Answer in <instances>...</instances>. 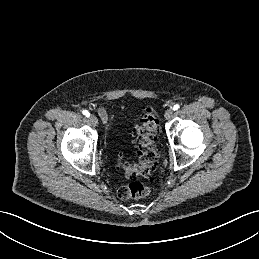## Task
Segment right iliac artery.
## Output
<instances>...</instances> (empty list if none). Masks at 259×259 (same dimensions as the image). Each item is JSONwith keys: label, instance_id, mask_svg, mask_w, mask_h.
<instances>
[{"label": "right iliac artery", "instance_id": "obj_1", "mask_svg": "<svg viewBox=\"0 0 259 259\" xmlns=\"http://www.w3.org/2000/svg\"><path fill=\"white\" fill-rule=\"evenodd\" d=\"M83 115H85L86 117H89L90 116V113H89V111H87V110H83Z\"/></svg>", "mask_w": 259, "mask_h": 259}]
</instances>
